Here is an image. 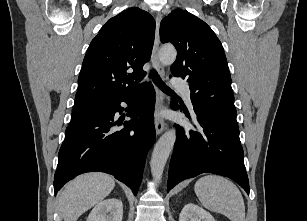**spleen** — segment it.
Masks as SVG:
<instances>
[{
    "label": "spleen",
    "mask_w": 307,
    "mask_h": 221,
    "mask_svg": "<svg viewBox=\"0 0 307 221\" xmlns=\"http://www.w3.org/2000/svg\"><path fill=\"white\" fill-rule=\"evenodd\" d=\"M194 190L206 209L221 213L231 221H245L242 194L230 180L218 175H206L197 180Z\"/></svg>",
    "instance_id": "3e777b00"
}]
</instances>
